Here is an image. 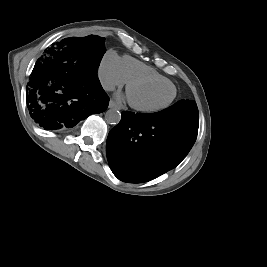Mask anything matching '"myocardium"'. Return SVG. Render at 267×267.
<instances>
[{
  "instance_id": "obj_1",
  "label": "myocardium",
  "mask_w": 267,
  "mask_h": 267,
  "mask_svg": "<svg viewBox=\"0 0 267 267\" xmlns=\"http://www.w3.org/2000/svg\"><path fill=\"white\" fill-rule=\"evenodd\" d=\"M142 84H167V85L172 86L174 93H173L172 98L167 103L160 105V106H142V105H139V104L133 102L129 98L130 106L137 111L144 112V113H153V112L162 111V110L168 108L177 97V93H178L177 88L171 81L170 82H164V81H160V80H157L154 78H135V79L128 81L127 86H126L128 96H129V90L133 86L142 85Z\"/></svg>"
}]
</instances>
